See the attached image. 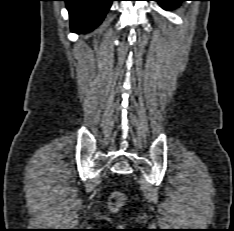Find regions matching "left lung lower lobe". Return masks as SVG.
<instances>
[{"label":"left lung lower lobe","instance_id":"0a47b994","mask_svg":"<svg viewBox=\"0 0 234 231\" xmlns=\"http://www.w3.org/2000/svg\"><path fill=\"white\" fill-rule=\"evenodd\" d=\"M155 1H158L161 7H163L164 9H170L179 6L180 2L185 0H155Z\"/></svg>","mask_w":234,"mask_h":231}]
</instances>
